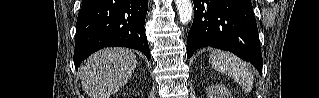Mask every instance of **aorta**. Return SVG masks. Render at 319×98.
Listing matches in <instances>:
<instances>
[{"instance_id": "aorta-1", "label": "aorta", "mask_w": 319, "mask_h": 98, "mask_svg": "<svg viewBox=\"0 0 319 98\" xmlns=\"http://www.w3.org/2000/svg\"><path fill=\"white\" fill-rule=\"evenodd\" d=\"M177 6L178 15L182 24H187L193 14V7L191 0H175Z\"/></svg>"}]
</instances>
